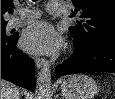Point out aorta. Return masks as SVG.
I'll return each instance as SVG.
<instances>
[{
    "label": "aorta",
    "mask_w": 115,
    "mask_h": 99,
    "mask_svg": "<svg viewBox=\"0 0 115 99\" xmlns=\"http://www.w3.org/2000/svg\"><path fill=\"white\" fill-rule=\"evenodd\" d=\"M51 93V70L45 65L38 74L35 98L50 99Z\"/></svg>",
    "instance_id": "1"
}]
</instances>
